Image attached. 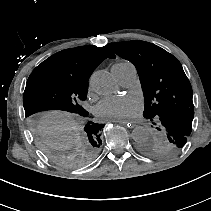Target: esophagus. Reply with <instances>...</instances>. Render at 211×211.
I'll return each instance as SVG.
<instances>
[{
  "label": "esophagus",
  "mask_w": 211,
  "mask_h": 211,
  "mask_svg": "<svg viewBox=\"0 0 211 211\" xmlns=\"http://www.w3.org/2000/svg\"><path fill=\"white\" fill-rule=\"evenodd\" d=\"M112 122L119 123V124H125V127L127 130L133 129V123L131 121L113 120Z\"/></svg>",
  "instance_id": "esophagus-1"
}]
</instances>
